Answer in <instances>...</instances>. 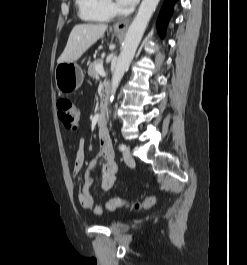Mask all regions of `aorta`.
I'll return each instance as SVG.
<instances>
[{"label": "aorta", "mask_w": 247, "mask_h": 265, "mask_svg": "<svg viewBox=\"0 0 247 265\" xmlns=\"http://www.w3.org/2000/svg\"><path fill=\"white\" fill-rule=\"evenodd\" d=\"M159 1L160 0H142L138 13L127 30L122 51L112 74L111 101L113 100V94L116 92L125 71L129 68L136 49Z\"/></svg>", "instance_id": "aorta-1"}]
</instances>
